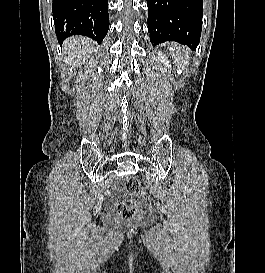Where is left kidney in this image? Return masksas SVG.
Here are the masks:
<instances>
[{"mask_svg":"<svg viewBox=\"0 0 265 273\" xmlns=\"http://www.w3.org/2000/svg\"><path fill=\"white\" fill-rule=\"evenodd\" d=\"M157 58L159 59V61L164 64L166 67H171V65H169V61L167 59V57L162 53V52H158L157 53Z\"/></svg>","mask_w":265,"mask_h":273,"instance_id":"5707ae66","label":"left kidney"}]
</instances>
